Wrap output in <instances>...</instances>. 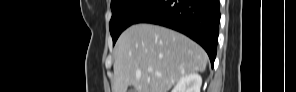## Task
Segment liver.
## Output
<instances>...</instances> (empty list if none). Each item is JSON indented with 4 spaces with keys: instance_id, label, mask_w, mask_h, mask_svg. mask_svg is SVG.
<instances>
[{
    "instance_id": "liver-1",
    "label": "liver",
    "mask_w": 296,
    "mask_h": 92,
    "mask_svg": "<svg viewBox=\"0 0 296 92\" xmlns=\"http://www.w3.org/2000/svg\"><path fill=\"white\" fill-rule=\"evenodd\" d=\"M114 54L113 92L129 86L134 92H168L185 75L204 72L208 61L204 49L185 35L145 23L126 29Z\"/></svg>"
}]
</instances>
